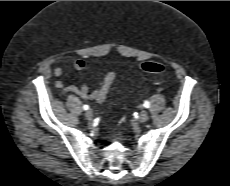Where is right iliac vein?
<instances>
[{"label": "right iliac vein", "mask_w": 230, "mask_h": 186, "mask_svg": "<svg viewBox=\"0 0 230 186\" xmlns=\"http://www.w3.org/2000/svg\"><path fill=\"white\" fill-rule=\"evenodd\" d=\"M85 117H86V119L91 120L93 118V112L91 110H88L85 113Z\"/></svg>", "instance_id": "right-iliac-vein-1"}]
</instances>
